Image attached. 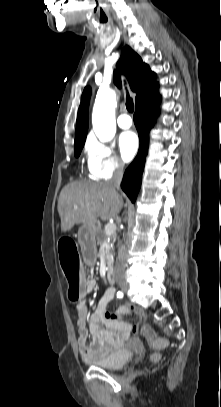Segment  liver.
<instances>
[{
  "label": "liver",
  "instance_id": "6515ba94",
  "mask_svg": "<svg viewBox=\"0 0 221 407\" xmlns=\"http://www.w3.org/2000/svg\"><path fill=\"white\" fill-rule=\"evenodd\" d=\"M122 206L121 196L106 182H72L62 189L58 199L61 231L67 232L75 224L95 223L98 217L115 218Z\"/></svg>",
  "mask_w": 221,
  "mask_h": 407
}]
</instances>
